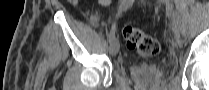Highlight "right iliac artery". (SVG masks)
I'll return each mask as SVG.
<instances>
[{
  "label": "right iliac artery",
  "instance_id": "obj_1",
  "mask_svg": "<svg viewBox=\"0 0 209 90\" xmlns=\"http://www.w3.org/2000/svg\"><path fill=\"white\" fill-rule=\"evenodd\" d=\"M131 3H132L131 0H125V1L121 4V6H120V8H119V10H118V16L122 13V11L126 10V9L128 8V6L131 5ZM115 32H116V23H114V24L112 25V28H111L110 33H109V41H110V43H111V42L114 40V38H115Z\"/></svg>",
  "mask_w": 209,
  "mask_h": 90
}]
</instances>
